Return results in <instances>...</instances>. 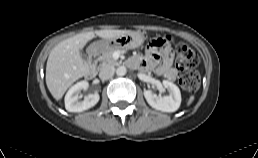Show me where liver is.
Here are the masks:
<instances>
[{
  "label": "liver",
  "instance_id": "1",
  "mask_svg": "<svg viewBox=\"0 0 258 158\" xmlns=\"http://www.w3.org/2000/svg\"><path fill=\"white\" fill-rule=\"evenodd\" d=\"M128 30H99L80 33L58 43L50 52L46 65V84L51 95L60 100L66 90L79 78L89 73L90 67L80 50L96 36L113 39Z\"/></svg>",
  "mask_w": 258,
  "mask_h": 158
}]
</instances>
